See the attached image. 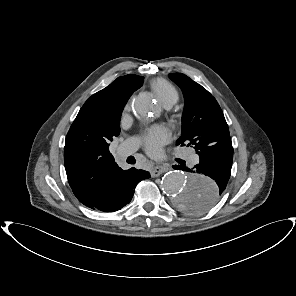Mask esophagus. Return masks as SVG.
I'll use <instances>...</instances> for the list:
<instances>
[{
  "label": "esophagus",
  "mask_w": 296,
  "mask_h": 296,
  "mask_svg": "<svg viewBox=\"0 0 296 296\" xmlns=\"http://www.w3.org/2000/svg\"><path fill=\"white\" fill-rule=\"evenodd\" d=\"M169 168L167 166H164V165H156L154 166L151 170H150V173H151V176L152 177H157L159 176L160 174L168 171Z\"/></svg>",
  "instance_id": "34e87169"
}]
</instances>
